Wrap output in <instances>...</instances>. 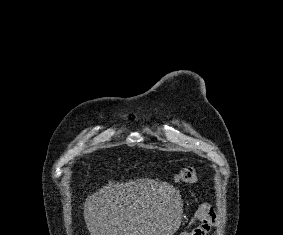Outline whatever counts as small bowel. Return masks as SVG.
<instances>
[{
	"label": "small bowel",
	"mask_w": 283,
	"mask_h": 235,
	"mask_svg": "<svg viewBox=\"0 0 283 235\" xmlns=\"http://www.w3.org/2000/svg\"><path fill=\"white\" fill-rule=\"evenodd\" d=\"M215 218L216 215L212 206L202 204L194 213V220L198 222V226L191 232L180 235H208L215 222Z\"/></svg>",
	"instance_id": "obj_1"
}]
</instances>
